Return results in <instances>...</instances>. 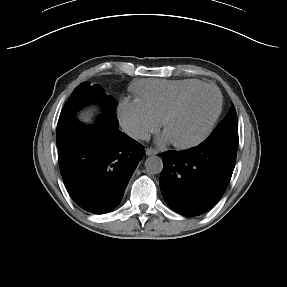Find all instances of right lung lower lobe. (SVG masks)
<instances>
[{
    "label": "right lung lower lobe",
    "instance_id": "1",
    "mask_svg": "<svg viewBox=\"0 0 287 287\" xmlns=\"http://www.w3.org/2000/svg\"><path fill=\"white\" fill-rule=\"evenodd\" d=\"M144 153L141 144L117 127L98 123L76 131L58 159L73 200L86 211L103 214L120 203Z\"/></svg>",
    "mask_w": 287,
    "mask_h": 287
}]
</instances>
